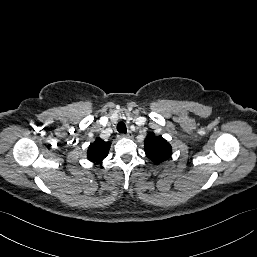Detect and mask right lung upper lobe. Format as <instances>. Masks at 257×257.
Listing matches in <instances>:
<instances>
[{"instance_id":"obj_1","label":"right lung upper lobe","mask_w":257,"mask_h":257,"mask_svg":"<svg viewBox=\"0 0 257 257\" xmlns=\"http://www.w3.org/2000/svg\"><path fill=\"white\" fill-rule=\"evenodd\" d=\"M110 145V142H105L102 139L97 138L95 142L91 143L88 148V159L91 162H101L108 155Z\"/></svg>"}]
</instances>
